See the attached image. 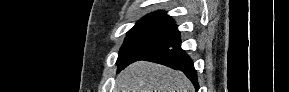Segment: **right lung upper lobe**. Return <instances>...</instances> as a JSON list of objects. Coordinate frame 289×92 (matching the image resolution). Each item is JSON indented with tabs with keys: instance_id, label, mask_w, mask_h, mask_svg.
Segmentation results:
<instances>
[{
	"instance_id": "cb5924a9",
	"label": "right lung upper lobe",
	"mask_w": 289,
	"mask_h": 92,
	"mask_svg": "<svg viewBox=\"0 0 289 92\" xmlns=\"http://www.w3.org/2000/svg\"><path fill=\"white\" fill-rule=\"evenodd\" d=\"M142 20H149V21H155V22H163V23H174L173 19L168 16L163 11H157L150 13L142 18Z\"/></svg>"
}]
</instances>
